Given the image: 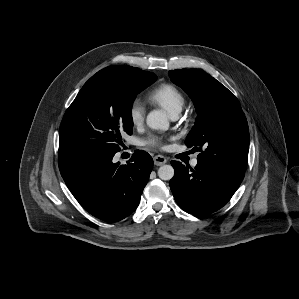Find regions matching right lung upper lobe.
I'll use <instances>...</instances> for the list:
<instances>
[{
    "instance_id": "1",
    "label": "right lung upper lobe",
    "mask_w": 299,
    "mask_h": 299,
    "mask_svg": "<svg viewBox=\"0 0 299 299\" xmlns=\"http://www.w3.org/2000/svg\"><path fill=\"white\" fill-rule=\"evenodd\" d=\"M125 67L132 70V71H134V72H136V73H138V74H141V75H147V74L151 73V72H146V71H143V70H140L138 68L131 67V66H125Z\"/></svg>"
}]
</instances>
